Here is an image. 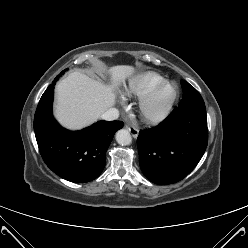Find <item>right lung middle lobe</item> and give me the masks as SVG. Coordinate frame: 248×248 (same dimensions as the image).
I'll list each match as a JSON object with an SVG mask.
<instances>
[{
	"label": "right lung middle lobe",
	"mask_w": 248,
	"mask_h": 248,
	"mask_svg": "<svg viewBox=\"0 0 248 248\" xmlns=\"http://www.w3.org/2000/svg\"><path fill=\"white\" fill-rule=\"evenodd\" d=\"M65 71H66V70L62 71V72L55 78V80L53 81V83H52L51 85H49V87L47 88V90H49L50 87H51L53 84L56 83V80H58V78H59ZM47 90H46L45 92H47ZM45 92H44V93H45Z\"/></svg>",
	"instance_id": "dd1d6c3e"
}]
</instances>
